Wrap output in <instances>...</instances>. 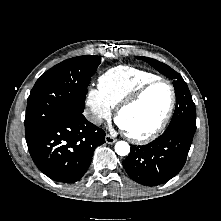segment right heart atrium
Instances as JSON below:
<instances>
[{
	"instance_id": "obj_1",
	"label": "right heart atrium",
	"mask_w": 221,
	"mask_h": 221,
	"mask_svg": "<svg viewBox=\"0 0 221 221\" xmlns=\"http://www.w3.org/2000/svg\"><path fill=\"white\" fill-rule=\"evenodd\" d=\"M86 105L89 110L88 118L94 125H100L111 116V107L103 99L99 90L91 88L86 96Z\"/></svg>"
}]
</instances>
